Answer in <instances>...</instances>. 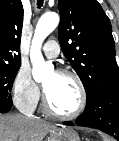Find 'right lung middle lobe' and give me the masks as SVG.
Here are the masks:
<instances>
[{"label": "right lung middle lobe", "instance_id": "right-lung-middle-lobe-1", "mask_svg": "<svg viewBox=\"0 0 119 141\" xmlns=\"http://www.w3.org/2000/svg\"><path fill=\"white\" fill-rule=\"evenodd\" d=\"M19 68L20 64H0V102L12 104L10 92Z\"/></svg>", "mask_w": 119, "mask_h": 141}]
</instances>
